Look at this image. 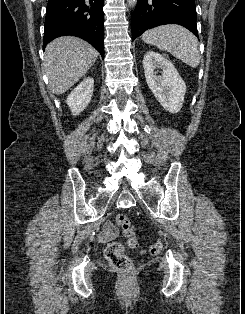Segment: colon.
<instances>
[{
  "mask_svg": "<svg viewBox=\"0 0 245 314\" xmlns=\"http://www.w3.org/2000/svg\"><path fill=\"white\" fill-rule=\"evenodd\" d=\"M116 222L122 229L123 236L127 239L128 244L133 248H138L139 241L135 236L134 229L128 216L124 213H120L116 216ZM161 248V243L157 242L145 249L144 252H147L150 255H156L160 252ZM105 256L112 267L119 271L129 272L133 268L132 261L127 256L125 247L120 242L110 243L105 250Z\"/></svg>",
  "mask_w": 245,
  "mask_h": 314,
  "instance_id": "colon-1",
  "label": "colon"
}]
</instances>
